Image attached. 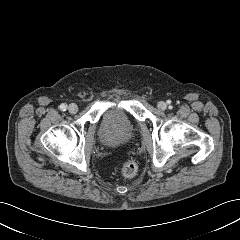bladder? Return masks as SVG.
I'll return each instance as SVG.
<instances>
[{"instance_id":"bladder-1","label":"bladder","mask_w":240,"mask_h":240,"mask_svg":"<svg viewBox=\"0 0 240 240\" xmlns=\"http://www.w3.org/2000/svg\"><path fill=\"white\" fill-rule=\"evenodd\" d=\"M103 143L112 148L120 147L130 142L136 132L132 117L122 110L114 109L106 112L100 123Z\"/></svg>"}]
</instances>
